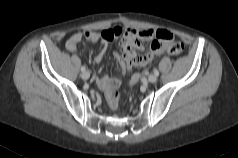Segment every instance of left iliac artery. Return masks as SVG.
<instances>
[{
    "mask_svg": "<svg viewBox=\"0 0 238 158\" xmlns=\"http://www.w3.org/2000/svg\"><path fill=\"white\" fill-rule=\"evenodd\" d=\"M153 71H154V74H155V75H157V76L159 75V72H158V70H157L156 68H154Z\"/></svg>",
    "mask_w": 238,
    "mask_h": 158,
    "instance_id": "obj_1",
    "label": "left iliac artery"
}]
</instances>
